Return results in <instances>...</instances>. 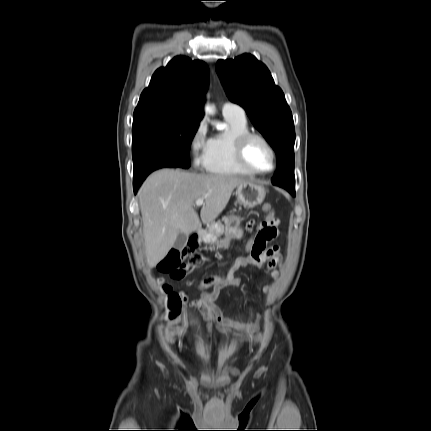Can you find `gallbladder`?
Returning <instances> with one entry per match:
<instances>
[{"label": "gallbladder", "instance_id": "bac80fb5", "mask_svg": "<svg viewBox=\"0 0 431 431\" xmlns=\"http://www.w3.org/2000/svg\"><path fill=\"white\" fill-rule=\"evenodd\" d=\"M187 240H188L187 234L179 233L174 242V248L177 250H182L186 246Z\"/></svg>", "mask_w": 431, "mask_h": 431}]
</instances>
